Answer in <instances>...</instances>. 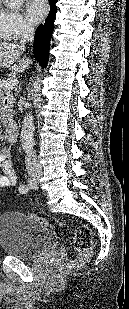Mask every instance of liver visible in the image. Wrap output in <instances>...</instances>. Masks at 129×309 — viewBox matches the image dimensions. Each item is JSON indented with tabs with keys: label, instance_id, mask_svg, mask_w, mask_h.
Wrapping results in <instances>:
<instances>
[{
	"label": "liver",
	"instance_id": "obj_1",
	"mask_svg": "<svg viewBox=\"0 0 129 309\" xmlns=\"http://www.w3.org/2000/svg\"><path fill=\"white\" fill-rule=\"evenodd\" d=\"M25 48L17 43L0 42V68H9L14 73H23L30 67L32 61L23 58L14 64V62L23 54Z\"/></svg>",
	"mask_w": 129,
	"mask_h": 309
}]
</instances>
